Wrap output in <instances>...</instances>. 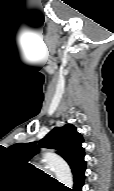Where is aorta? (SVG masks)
Listing matches in <instances>:
<instances>
[{
    "label": "aorta",
    "instance_id": "aorta-1",
    "mask_svg": "<svg viewBox=\"0 0 114 191\" xmlns=\"http://www.w3.org/2000/svg\"><path fill=\"white\" fill-rule=\"evenodd\" d=\"M43 162L54 171L58 182L64 184L68 188L73 186V177L68 164L58 155L47 152L43 155Z\"/></svg>",
    "mask_w": 114,
    "mask_h": 191
}]
</instances>
